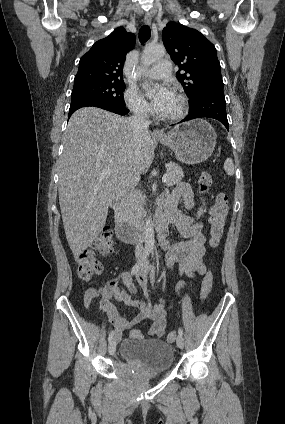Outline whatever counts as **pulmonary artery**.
<instances>
[{"label": "pulmonary artery", "mask_w": 285, "mask_h": 424, "mask_svg": "<svg viewBox=\"0 0 285 424\" xmlns=\"http://www.w3.org/2000/svg\"><path fill=\"white\" fill-rule=\"evenodd\" d=\"M146 75L154 79H163L171 75V61L162 59L157 65L152 66L146 71Z\"/></svg>", "instance_id": "pulmonary-artery-1"}]
</instances>
